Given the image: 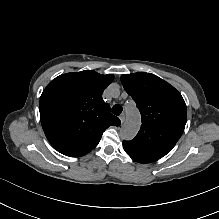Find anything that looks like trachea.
<instances>
[{
	"label": "trachea",
	"mask_w": 219,
	"mask_h": 219,
	"mask_svg": "<svg viewBox=\"0 0 219 219\" xmlns=\"http://www.w3.org/2000/svg\"><path fill=\"white\" fill-rule=\"evenodd\" d=\"M122 111H123V108L121 105L116 104L112 107V113L114 115H120L122 113Z\"/></svg>",
	"instance_id": "trachea-1"
}]
</instances>
